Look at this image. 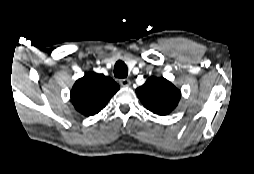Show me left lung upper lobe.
Listing matches in <instances>:
<instances>
[{
	"instance_id": "1",
	"label": "left lung upper lobe",
	"mask_w": 254,
	"mask_h": 174,
	"mask_svg": "<svg viewBox=\"0 0 254 174\" xmlns=\"http://www.w3.org/2000/svg\"><path fill=\"white\" fill-rule=\"evenodd\" d=\"M136 93L145 108L158 115L171 113L181 97L180 91L163 77H150Z\"/></svg>"
}]
</instances>
